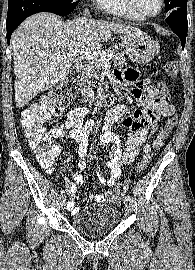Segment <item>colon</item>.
<instances>
[{"label": "colon", "instance_id": "5ec220e1", "mask_svg": "<svg viewBox=\"0 0 195 270\" xmlns=\"http://www.w3.org/2000/svg\"><path fill=\"white\" fill-rule=\"evenodd\" d=\"M165 70L171 77H176L178 68L174 61L165 63ZM158 87L162 94L167 92L164 83H158ZM79 88V81L76 79H68L61 85L51 89L47 94L42 96L37 102L24 109L21 113L20 124L27 138L29 145L36 151L37 158L40 163L50 168L58 154V147L49 145L50 137L44 129L43 123L51 116L60 115L72 102ZM177 116L171 117L163 129L153 141L152 148H159L163 142L169 137L177 125ZM151 159V148L145 152L143 158L138 164L137 174H141L146 169ZM127 189L126 184H119L114 193L121 196Z\"/></svg>", "mask_w": 195, "mask_h": 270}]
</instances>
